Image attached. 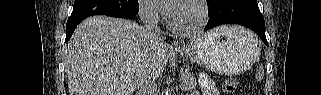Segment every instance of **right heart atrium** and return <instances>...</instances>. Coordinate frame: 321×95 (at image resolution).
I'll list each match as a JSON object with an SVG mask.
<instances>
[{"label":"right heart atrium","mask_w":321,"mask_h":95,"mask_svg":"<svg viewBox=\"0 0 321 95\" xmlns=\"http://www.w3.org/2000/svg\"><path fill=\"white\" fill-rule=\"evenodd\" d=\"M140 15L142 19L149 23H154L159 19V11L155 4L149 0L140 1Z\"/></svg>","instance_id":"d8ad5b80"}]
</instances>
